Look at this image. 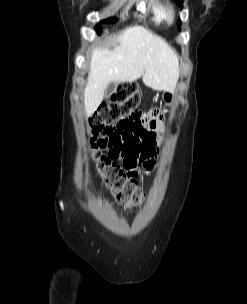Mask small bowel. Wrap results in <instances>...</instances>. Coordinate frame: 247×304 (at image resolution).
Here are the masks:
<instances>
[{"mask_svg": "<svg viewBox=\"0 0 247 304\" xmlns=\"http://www.w3.org/2000/svg\"><path fill=\"white\" fill-rule=\"evenodd\" d=\"M125 116L126 119H159L115 122L114 128L118 130H109L100 138L102 145H107L105 155L109 162L125 167L136 180L140 169L152 167L159 145L157 132L165 130V126L159 108H152L151 112H126Z\"/></svg>", "mask_w": 247, "mask_h": 304, "instance_id": "obj_1", "label": "small bowel"}]
</instances>
